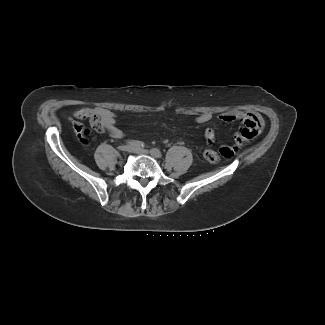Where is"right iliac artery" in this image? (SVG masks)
I'll return each mask as SVG.
<instances>
[{"mask_svg":"<svg viewBox=\"0 0 325 325\" xmlns=\"http://www.w3.org/2000/svg\"><path fill=\"white\" fill-rule=\"evenodd\" d=\"M130 146L136 147V148H143L144 147V143L141 141H137V140H130L127 142Z\"/></svg>","mask_w":325,"mask_h":325,"instance_id":"obj_1","label":"right iliac artery"}]
</instances>
